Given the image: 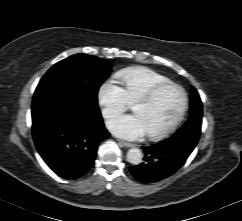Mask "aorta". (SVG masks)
Listing matches in <instances>:
<instances>
[{
	"mask_svg": "<svg viewBox=\"0 0 242 221\" xmlns=\"http://www.w3.org/2000/svg\"><path fill=\"white\" fill-rule=\"evenodd\" d=\"M127 161L131 164L138 165L142 162V152L138 148H132L127 152Z\"/></svg>",
	"mask_w": 242,
	"mask_h": 221,
	"instance_id": "aorta-1",
	"label": "aorta"
}]
</instances>
